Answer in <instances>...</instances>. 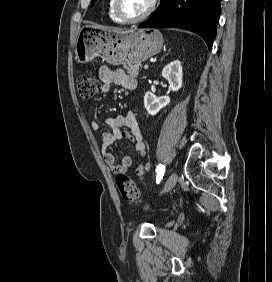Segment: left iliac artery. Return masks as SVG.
Returning <instances> with one entry per match:
<instances>
[{
  "mask_svg": "<svg viewBox=\"0 0 272 282\" xmlns=\"http://www.w3.org/2000/svg\"><path fill=\"white\" fill-rule=\"evenodd\" d=\"M156 172H157L156 183H160L165 173V166L162 164H159L157 166Z\"/></svg>",
  "mask_w": 272,
  "mask_h": 282,
  "instance_id": "1",
  "label": "left iliac artery"
}]
</instances>
